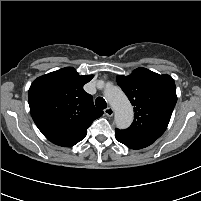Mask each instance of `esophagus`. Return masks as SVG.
<instances>
[{
  "label": "esophagus",
  "instance_id": "34e87169",
  "mask_svg": "<svg viewBox=\"0 0 201 201\" xmlns=\"http://www.w3.org/2000/svg\"><path fill=\"white\" fill-rule=\"evenodd\" d=\"M104 113H105L106 116L111 117V116H113L114 110H113L112 107H107V108L104 110Z\"/></svg>",
  "mask_w": 201,
  "mask_h": 201
}]
</instances>
